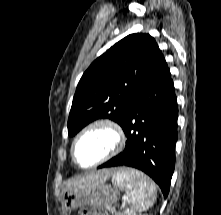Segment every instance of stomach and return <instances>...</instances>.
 <instances>
[{
    "label": "stomach",
    "mask_w": 221,
    "mask_h": 215,
    "mask_svg": "<svg viewBox=\"0 0 221 215\" xmlns=\"http://www.w3.org/2000/svg\"><path fill=\"white\" fill-rule=\"evenodd\" d=\"M118 187L105 182L82 189H66L63 192V205L72 211L84 206L111 209L118 199Z\"/></svg>",
    "instance_id": "obj_1"
}]
</instances>
